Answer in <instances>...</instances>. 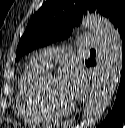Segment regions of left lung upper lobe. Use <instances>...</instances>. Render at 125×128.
I'll use <instances>...</instances> for the list:
<instances>
[{"label": "left lung upper lobe", "mask_w": 125, "mask_h": 128, "mask_svg": "<svg viewBox=\"0 0 125 128\" xmlns=\"http://www.w3.org/2000/svg\"><path fill=\"white\" fill-rule=\"evenodd\" d=\"M87 11L101 13L116 29L125 22V0L47 1L30 19L19 41L16 60L33 49L67 38Z\"/></svg>", "instance_id": "left-lung-upper-lobe-1"}]
</instances>
